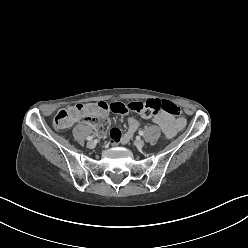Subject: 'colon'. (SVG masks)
Here are the masks:
<instances>
[{
	"label": "colon",
	"instance_id": "1",
	"mask_svg": "<svg viewBox=\"0 0 248 248\" xmlns=\"http://www.w3.org/2000/svg\"><path fill=\"white\" fill-rule=\"evenodd\" d=\"M108 109L112 110L114 114L121 116H128L130 111H133L144 118H151L162 113L176 117L182 114L179 106L166 100L132 101L127 104L114 103L110 106L100 101L97 104H82L60 110L54 118V126L58 130H63L68 128L73 122L81 119L92 122L95 127L96 135L105 137L109 133V120L106 117ZM126 123L134 130L140 129V124L133 117H127Z\"/></svg>",
	"mask_w": 248,
	"mask_h": 248
}]
</instances>
